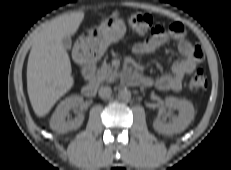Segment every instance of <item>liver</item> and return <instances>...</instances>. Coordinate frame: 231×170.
<instances>
[{
    "label": "liver",
    "instance_id": "1",
    "mask_svg": "<svg viewBox=\"0 0 231 170\" xmlns=\"http://www.w3.org/2000/svg\"><path fill=\"white\" fill-rule=\"evenodd\" d=\"M83 12L59 16L45 25L33 38L27 64V91L35 114L43 117L74 85L65 36L77 32Z\"/></svg>",
    "mask_w": 231,
    "mask_h": 170
}]
</instances>
